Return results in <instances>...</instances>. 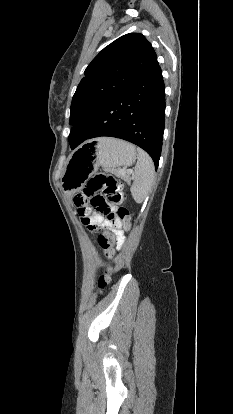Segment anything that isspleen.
<instances>
[{"label":"spleen","mask_w":233,"mask_h":414,"mask_svg":"<svg viewBox=\"0 0 233 414\" xmlns=\"http://www.w3.org/2000/svg\"><path fill=\"white\" fill-rule=\"evenodd\" d=\"M138 161L135 166L131 194L137 203L147 197L155 179V167L151 157L142 149L137 148Z\"/></svg>","instance_id":"obj_1"}]
</instances>
